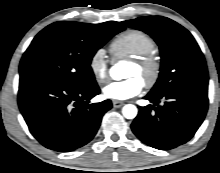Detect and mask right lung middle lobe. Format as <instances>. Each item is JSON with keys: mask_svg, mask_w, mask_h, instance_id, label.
Segmentation results:
<instances>
[{"mask_svg": "<svg viewBox=\"0 0 220 173\" xmlns=\"http://www.w3.org/2000/svg\"><path fill=\"white\" fill-rule=\"evenodd\" d=\"M121 31L115 21L53 23L44 28L25 51L20 62V78H49L73 87L94 84L90 66L94 54Z\"/></svg>", "mask_w": 220, "mask_h": 173, "instance_id": "right-lung-middle-lobe-1", "label": "right lung middle lobe"}]
</instances>
